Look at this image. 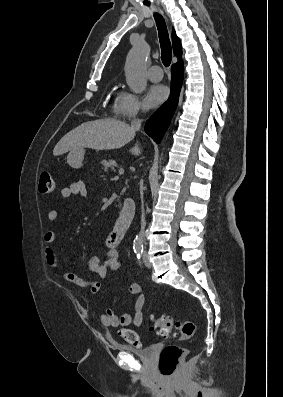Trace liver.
I'll return each instance as SVG.
<instances>
[{
  "label": "liver",
  "mask_w": 283,
  "mask_h": 397,
  "mask_svg": "<svg viewBox=\"0 0 283 397\" xmlns=\"http://www.w3.org/2000/svg\"><path fill=\"white\" fill-rule=\"evenodd\" d=\"M136 134L129 124L116 119H98L85 122L68 132L56 144L53 155L59 156L71 150L90 148L113 150L123 147ZM133 155L141 154L138 143L130 149Z\"/></svg>",
  "instance_id": "obj_1"
}]
</instances>
